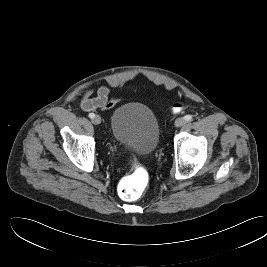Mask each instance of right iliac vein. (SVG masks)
Wrapping results in <instances>:
<instances>
[{
  "label": "right iliac vein",
  "instance_id": "right-iliac-vein-1",
  "mask_svg": "<svg viewBox=\"0 0 267 267\" xmlns=\"http://www.w3.org/2000/svg\"><path fill=\"white\" fill-rule=\"evenodd\" d=\"M92 123L94 125H99L101 123V117L96 115L95 117L92 118Z\"/></svg>",
  "mask_w": 267,
  "mask_h": 267
}]
</instances>
